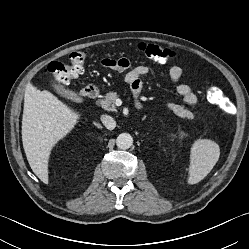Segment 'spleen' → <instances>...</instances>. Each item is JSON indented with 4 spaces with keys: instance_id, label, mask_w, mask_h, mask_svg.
Wrapping results in <instances>:
<instances>
[{
    "instance_id": "obj_1",
    "label": "spleen",
    "mask_w": 249,
    "mask_h": 249,
    "mask_svg": "<svg viewBox=\"0 0 249 249\" xmlns=\"http://www.w3.org/2000/svg\"><path fill=\"white\" fill-rule=\"evenodd\" d=\"M220 156L219 145L209 139L196 140L190 151L188 184L203 180L213 169Z\"/></svg>"
}]
</instances>
